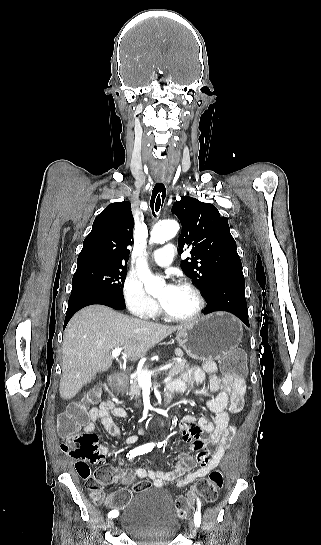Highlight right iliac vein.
<instances>
[{
	"label": "right iliac vein",
	"instance_id": "1",
	"mask_svg": "<svg viewBox=\"0 0 321 545\" xmlns=\"http://www.w3.org/2000/svg\"><path fill=\"white\" fill-rule=\"evenodd\" d=\"M114 525V522L112 519H108L107 522H106V528L107 529H111Z\"/></svg>",
	"mask_w": 321,
	"mask_h": 545
}]
</instances>
